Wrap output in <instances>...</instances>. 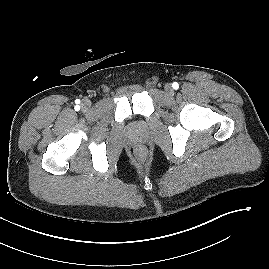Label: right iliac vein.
Returning <instances> with one entry per match:
<instances>
[{"label":"right iliac vein","mask_w":269,"mask_h":269,"mask_svg":"<svg viewBox=\"0 0 269 269\" xmlns=\"http://www.w3.org/2000/svg\"><path fill=\"white\" fill-rule=\"evenodd\" d=\"M83 109H88L91 106V102L89 100H84L81 104Z\"/></svg>","instance_id":"63e3f726"}]
</instances>
